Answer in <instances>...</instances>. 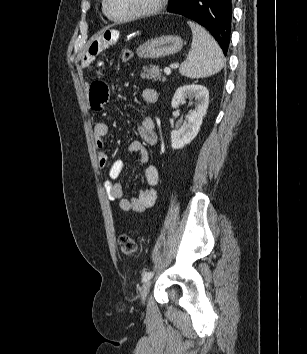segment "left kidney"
I'll use <instances>...</instances> for the list:
<instances>
[{"instance_id": "left-kidney-1", "label": "left kidney", "mask_w": 307, "mask_h": 354, "mask_svg": "<svg viewBox=\"0 0 307 354\" xmlns=\"http://www.w3.org/2000/svg\"><path fill=\"white\" fill-rule=\"evenodd\" d=\"M186 98L195 100V107L187 115V123L179 130L171 132V147L181 149L189 144L198 134L209 104V92L202 85H184L179 87L173 98L172 108H177Z\"/></svg>"}]
</instances>
